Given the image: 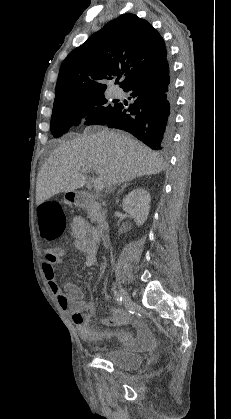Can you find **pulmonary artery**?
Segmentation results:
<instances>
[{
    "label": "pulmonary artery",
    "instance_id": "e3ab8cb5",
    "mask_svg": "<svg viewBox=\"0 0 231 419\" xmlns=\"http://www.w3.org/2000/svg\"><path fill=\"white\" fill-rule=\"evenodd\" d=\"M113 95L117 98H121V97L124 96V92L121 88L116 87V88L113 89Z\"/></svg>",
    "mask_w": 231,
    "mask_h": 419
}]
</instances>
